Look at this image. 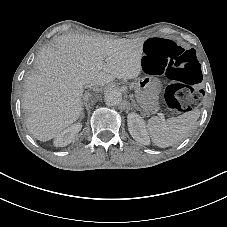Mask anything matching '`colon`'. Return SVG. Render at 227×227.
Here are the masks:
<instances>
[{
	"mask_svg": "<svg viewBox=\"0 0 227 227\" xmlns=\"http://www.w3.org/2000/svg\"><path fill=\"white\" fill-rule=\"evenodd\" d=\"M143 62L148 73L169 80L165 90L169 107L182 112L199 104L201 95L193 86L202 81V70L193 50L171 40L151 38L144 44Z\"/></svg>",
	"mask_w": 227,
	"mask_h": 227,
	"instance_id": "obj_1",
	"label": "colon"
}]
</instances>
